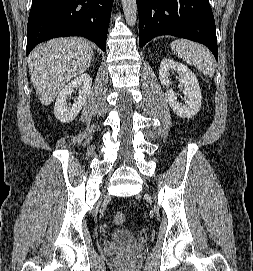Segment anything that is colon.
Wrapping results in <instances>:
<instances>
[{
    "label": "colon",
    "instance_id": "5ec220e1",
    "mask_svg": "<svg viewBox=\"0 0 253 271\" xmlns=\"http://www.w3.org/2000/svg\"><path fill=\"white\" fill-rule=\"evenodd\" d=\"M114 222L118 225L124 224L126 222V215L123 212H116L113 218Z\"/></svg>",
    "mask_w": 253,
    "mask_h": 271
}]
</instances>
